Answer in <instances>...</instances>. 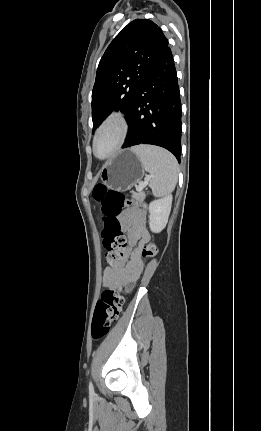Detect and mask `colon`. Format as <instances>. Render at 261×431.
Masks as SVG:
<instances>
[{"label":"colon","mask_w":261,"mask_h":431,"mask_svg":"<svg viewBox=\"0 0 261 431\" xmlns=\"http://www.w3.org/2000/svg\"><path fill=\"white\" fill-rule=\"evenodd\" d=\"M93 197L100 205L104 215L102 238L106 250V261L109 266H119L124 259L123 251L127 245V238L120 227L117 215L125 207L145 208L146 205L128 200L122 192L109 189L102 184L95 186ZM156 253L157 248L153 243L146 245L143 250L146 258H151ZM123 303L124 297L121 291L107 289L102 293L92 320V337L95 340L101 339L109 333L112 324L119 318Z\"/></svg>","instance_id":"5ec220e1"}]
</instances>
